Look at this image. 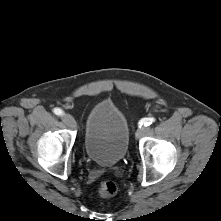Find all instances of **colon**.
<instances>
[{"mask_svg":"<svg viewBox=\"0 0 221 221\" xmlns=\"http://www.w3.org/2000/svg\"><path fill=\"white\" fill-rule=\"evenodd\" d=\"M118 187L111 180L103 181L99 184L97 192L102 197H111L117 193Z\"/></svg>","mask_w":221,"mask_h":221,"instance_id":"colon-1","label":"colon"}]
</instances>
